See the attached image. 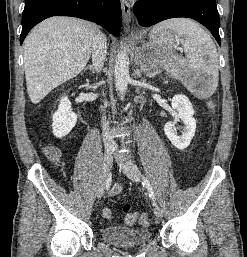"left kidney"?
I'll use <instances>...</instances> for the list:
<instances>
[{"instance_id":"left-kidney-1","label":"left kidney","mask_w":247,"mask_h":257,"mask_svg":"<svg viewBox=\"0 0 247 257\" xmlns=\"http://www.w3.org/2000/svg\"><path fill=\"white\" fill-rule=\"evenodd\" d=\"M172 108L177 111V118L184 124L181 136L174 130L175 122H167L164 132L171 143L179 150L187 148L195 135L196 120L194 119V109L189 99L182 94L175 95L171 102Z\"/></svg>"}]
</instances>
